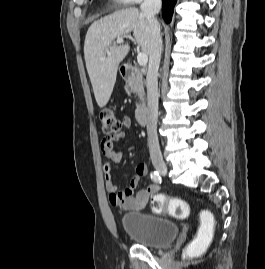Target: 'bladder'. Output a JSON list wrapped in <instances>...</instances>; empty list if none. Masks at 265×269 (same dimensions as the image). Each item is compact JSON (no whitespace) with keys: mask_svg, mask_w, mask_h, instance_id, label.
<instances>
[{"mask_svg":"<svg viewBox=\"0 0 265 269\" xmlns=\"http://www.w3.org/2000/svg\"><path fill=\"white\" fill-rule=\"evenodd\" d=\"M121 227L137 244L154 249L170 245L179 232L175 223L144 212L123 214Z\"/></svg>","mask_w":265,"mask_h":269,"instance_id":"obj_1","label":"bladder"}]
</instances>
